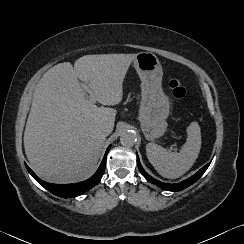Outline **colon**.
Returning a JSON list of instances; mask_svg holds the SVG:
<instances>
[{
	"label": "colon",
	"instance_id": "colon-1",
	"mask_svg": "<svg viewBox=\"0 0 244 244\" xmlns=\"http://www.w3.org/2000/svg\"><path fill=\"white\" fill-rule=\"evenodd\" d=\"M169 88L172 96L181 102L186 101L187 99V90L182 84V82L178 79H173L169 83Z\"/></svg>",
	"mask_w": 244,
	"mask_h": 244
}]
</instances>
